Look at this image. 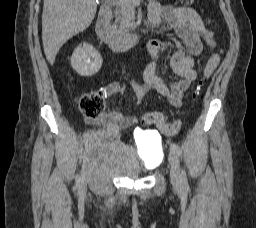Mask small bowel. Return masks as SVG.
Masks as SVG:
<instances>
[{
	"mask_svg": "<svg viewBox=\"0 0 256 228\" xmlns=\"http://www.w3.org/2000/svg\"><path fill=\"white\" fill-rule=\"evenodd\" d=\"M149 21L153 26L167 22L185 43L188 53L185 54L181 50L176 51L169 60L171 70L180 79L168 85L158 73V58L167 49L168 43L152 39L147 44L151 61L144 70V83L138 84L131 80L123 84L113 82L103 89V93L109 97L114 94H124L126 90L131 89L138 101H142L150 91H155L166 97L174 107H180L185 91L197 77L194 65L195 59L201 55L203 50L202 38L205 34V25L201 16L190 7L161 5L157 2H153L150 6ZM88 121L107 128L111 132H117L136 124L137 118L116 111H107L98 118ZM157 127L163 133L171 134L176 128V123Z\"/></svg>",
	"mask_w": 256,
	"mask_h": 228,
	"instance_id": "obj_1",
	"label": "small bowel"
}]
</instances>
